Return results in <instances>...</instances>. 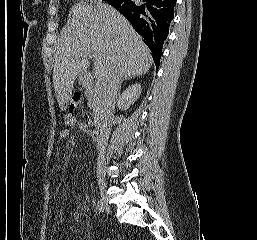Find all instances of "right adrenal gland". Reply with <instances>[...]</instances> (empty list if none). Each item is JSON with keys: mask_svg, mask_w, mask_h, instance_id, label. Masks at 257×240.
I'll use <instances>...</instances> for the list:
<instances>
[{"mask_svg": "<svg viewBox=\"0 0 257 240\" xmlns=\"http://www.w3.org/2000/svg\"><path fill=\"white\" fill-rule=\"evenodd\" d=\"M130 79H131V77H128V78H124V79H122V81H121V83H120V86H119L118 95L120 94L122 83H123L124 81H126V80H130Z\"/></svg>", "mask_w": 257, "mask_h": 240, "instance_id": "1", "label": "right adrenal gland"}]
</instances>
